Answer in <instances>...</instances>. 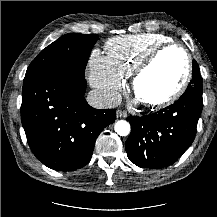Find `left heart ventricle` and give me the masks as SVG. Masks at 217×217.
<instances>
[{"label":"left heart ventricle","mask_w":217,"mask_h":217,"mask_svg":"<svg viewBox=\"0 0 217 217\" xmlns=\"http://www.w3.org/2000/svg\"><path fill=\"white\" fill-rule=\"evenodd\" d=\"M186 59L177 49L162 53L139 79L136 92L141 100H157L174 92L186 73Z\"/></svg>","instance_id":"obj_1"}]
</instances>
